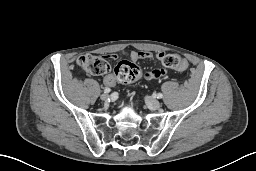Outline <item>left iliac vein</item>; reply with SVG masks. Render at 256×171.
<instances>
[{
    "mask_svg": "<svg viewBox=\"0 0 256 171\" xmlns=\"http://www.w3.org/2000/svg\"><path fill=\"white\" fill-rule=\"evenodd\" d=\"M146 104L151 108V109H158L160 108V102L155 99V98H151V97H146L145 98Z\"/></svg>",
    "mask_w": 256,
    "mask_h": 171,
    "instance_id": "4c4485c4",
    "label": "left iliac vein"
}]
</instances>
